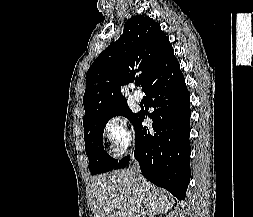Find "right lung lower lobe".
<instances>
[{
    "label": "right lung lower lobe",
    "mask_w": 253,
    "mask_h": 217,
    "mask_svg": "<svg viewBox=\"0 0 253 217\" xmlns=\"http://www.w3.org/2000/svg\"><path fill=\"white\" fill-rule=\"evenodd\" d=\"M146 95L154 111H140L133 121L135 158L145 178L165 188L178 199H185L190 181V94L176 62L147 85ZM152 128L143 126L146 116ZM130 156L121 159L113 169L123 168Z\"/></svg>",
    "instance_id": "1"
}]
</instances>
